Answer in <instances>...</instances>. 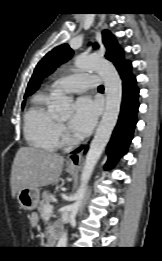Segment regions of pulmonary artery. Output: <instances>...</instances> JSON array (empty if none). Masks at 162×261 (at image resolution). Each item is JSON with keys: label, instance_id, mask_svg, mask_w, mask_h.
Listing matches in <instances>:
<instances>
[{"label": "pulmonary artery", "instance_id": "obj_1", "mask_svg": "<svg viewBox=\"0 0 162 261\" xmlns=\"http://www.w3.org/2000/svg\"><path fill=\"white\" fill-rule=\"evenodd\" d=\"M100 77L92 74H73L59 78L51 84L53 91L78 93L89 88H96Z\"/></svg>", "mask_w": 162, "mask_h": 261}]
</instances>
